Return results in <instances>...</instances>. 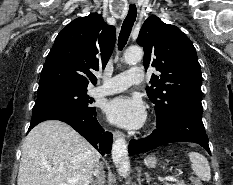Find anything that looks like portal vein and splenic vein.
Segmentation results:
<instances>
[{
    "instance_id": "18ae733b",
    "label": "portal vein and splenic vein",
    "mask_w": 233,
    "mask_h": 185,
    "mask_svg": "<svg viewBox=\"0 0 233 185\" xmlns=\"http://www.w3.org/2000/svg\"><path fill=\"white\" fill-rule=\"evenodd\" d=\"M165 180H166V181H174L175 178H174V176H167V177H165ZM69 182H73V180L70 179Z\"/></svg>"
}]
</instances>
